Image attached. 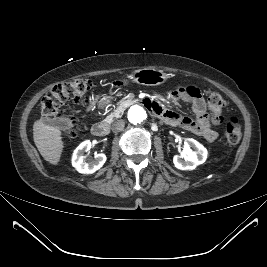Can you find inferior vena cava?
Here are the masks:
<instances>
[{
  "label": "inferior vena cava",
  "instance_id": "obj_1",
  "mask_svg": "<svg viewBox=\"0 0 267 267\" xmlns=\"http://www.w3.org/2000/svg\"><path fill=\"white\" fill-rule=\"evenodd\" d=\"M124 126H125V121L120 119V120L115 121L112 124L111 129L113 132H120L124 129Z\"/></svg>",
  "mask_w": 267,
  "mask_h": 267
}]
</instances>
